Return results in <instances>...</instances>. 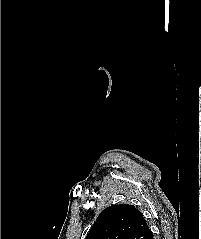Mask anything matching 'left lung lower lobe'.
<instances>
[{
  "label": "left lung lower lobe",
  "instance_id": "left-lung-lower-lobe-1",
  "mask_svg": "<svg viewBox=\"0 0 201 239\" xmlns=\"http://www.w3.org/2000/svg\"><path fill=\"white\" fill-rule=\"evenodd\" d=\"M147 239H153V234H152V232H150V234H149V236H148Z\"/></svg>",
  "mask_w": 201,
  "mask_h": 239
}]
</instances>
